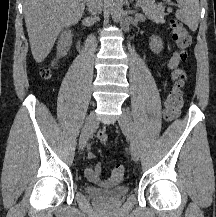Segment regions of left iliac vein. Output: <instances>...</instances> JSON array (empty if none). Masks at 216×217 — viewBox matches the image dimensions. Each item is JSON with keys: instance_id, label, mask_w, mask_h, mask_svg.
<instances>
[{"instance_id": "1", "label": "left iliac vein", "mask_w": 216, "mask_h": 217, "mask_svg": "<svg viewBox=\"0 0 216 217\" xmlns=\"http://www.w3.org/2000/svg\"><path fill=\"white\" fill-rule=\"evenodd\" d=\"M119 125L130 139V153L132 159L134 161H138L140 156V144L134 123L129 112L126 109H123V112L119 118Z\"/></svg>"}]
</instances>
